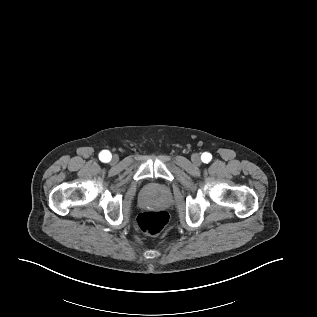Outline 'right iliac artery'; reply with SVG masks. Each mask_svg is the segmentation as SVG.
I'll return each mask as SVG.
<instances>
[{
    "instance_id": "right-iliac-artery-1",
    "label": "right iliac artery",
    "mask_w": 317,
    "mask_h": 317,
    "mask_svg": "<svg viewBox=\"0 0 317 317\" xmlns=\"http://www.w3.org/2000/svg\"><path fill=\"white\" fill-rule=\"evenodd\" d=\"M111 153L107 150L100 152L99 158L103 162H109L111 160Z\"/></svg>"
}]
</instances>
